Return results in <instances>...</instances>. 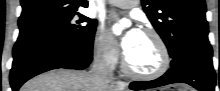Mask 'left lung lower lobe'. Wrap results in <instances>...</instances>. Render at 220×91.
Instances as JSON below:
<instances>
[{"mask_svg": "<svg viewBox=\"0 0 220 91\" xmlns=\"http://www.w3.org/2000/svg\"><path fill=\"white\" fill-rule=\"evenodd\" d=\"M210 44L188 45L179 48L172 57L171 68L160 78L130 84L132 90H142L172 84L186 83L199 91H214L216 84Z\"/></svg>", "mask_w": 220, "mask_h": 91, "instance_id": "obj_1", "label": "left lung lower lobe"}]
</instances>
